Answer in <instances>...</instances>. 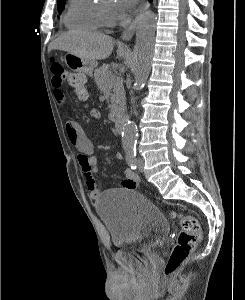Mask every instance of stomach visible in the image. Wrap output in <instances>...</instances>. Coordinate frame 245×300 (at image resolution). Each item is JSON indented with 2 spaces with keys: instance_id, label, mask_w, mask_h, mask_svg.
<instances>
[{
  "instance_id": "1",
  "label": "stomach",
  "mask_w": 245,
  "mask_h": 300,
  "mask_svg": "<svg viewBox=\"0 0 245 300\" xmlns=\"http://www.w3.org/2000/svg\"><path fill=\"white\" fill-rule=\"evenodd\" d=\"M64 61L68 68L71 70L83 73L89 76H93V72L96 71L97 62L92 60L82 59L72 53H67L64 56Z\"/></svg>"
}]
</instances>
